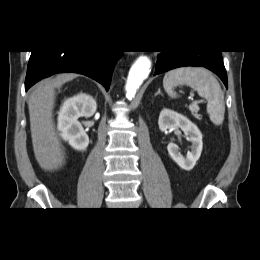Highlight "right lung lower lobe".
Masks as SVG:
<instances>
[{"mask_svg":"<svg viewBox=\"0 0 260 260\" xmlns=\"http://www.w3.org/2000/svg\"><path fill=\"white\" fill-rule=\"evenodd\" d=\"M123 51H32L25 90L39 80L60 72L86 75L109 89L114 66Z\"/></svg>","mask_w":260,"mask_h":260,"instance_id":"obj_1","label":"right lung lower lobe"}]
</instances>
